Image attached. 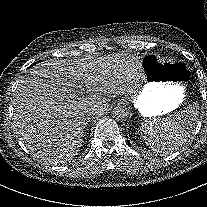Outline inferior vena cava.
<instances>
[{
    "label": "inferior vena cava",
    "instance_id": "602c4592",
    "mask_svg": "<svg viewBox=\"0 0 207 207\" xmlns=\"http://www.w3.org/2000/svg\"><path fill=\"white\" fill-rule=\"evenodd\" d=\"M98 113H99V110H96L94 114H98ZM94 114H93V115H94Z\"/></svg>",
    "mask_w": 207,
    "mask_h": 207
}]
</instances>
